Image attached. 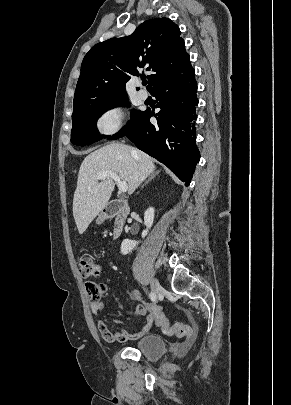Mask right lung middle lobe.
Instances as JSON below:
<instances>
[{
	"label": "right lung middle lobe",
	"instance_id": "1",
	"mask_svg": "<svg viewBox=\"0 0 291 405\" xmlns=\"http://www.w3.org/2000/svg\"><path fill=\"white\" fill-rule=\"evenodd\" d=\"M121 105H129L127 96L119 97L109 102L91 105L73 113L71 142L78 146H85L90 145L100 140L101 138L108 137L105 135L99 136V132L96 126L97 119L107 110ZM142 113L143 112L133 110L131 113V120L122 130L111 136L109 140L118 139L125 136V134L135 126Z\"/></svg>",
	"mask_w": 291,
	"mask_h": 405
}]
</instances>
